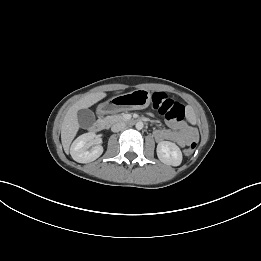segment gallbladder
Masks as SVG:
<instances>
[{
	"label": "gallbladder",
	"instance_id": "bac80fb5",
	"mask_svg": "<svg viewBox=\"0 0 261 261\" xmlns=\"http://www.w3.org/2000/svg\"><path fill=\"white\" fill-rule=\"evenodd\" d=\"M77 117L82 128H90L95 122V115L90 109L79 110Z\"/></svg>",
	"mask_w": 261,
	"mask_h": 261
}]
</instances>
